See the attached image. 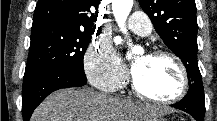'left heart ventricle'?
<instances>
[{
	"label": "left heart ventricle",
	"mask_w": 217,
	"mask_h": 121,
	"mask_svg": "<svg viewBox=\"0 0 217 121\" xmlns=\"http://www.w3.org/2000/svg\"><path fill=\"white\" fill-rule=\"evenodd\" d=\"M133 75L139 87L157 98H168L179 88L177 68L168 58L138 55L132 61Z\"/></svg>",
	"instance_id": "obj_1"
}]
</instances>
